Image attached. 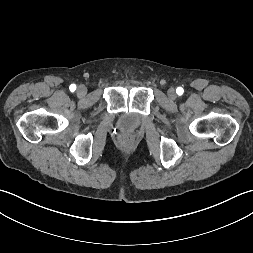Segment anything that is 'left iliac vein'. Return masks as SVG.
Wrapping results in <instances>:
<instances>
[{
    "mask_svg": "<svg viewBox=\"0 0 253 253\" xmlns=\"http://www.w3.org/2000/svg\"><path fill=\"white\" fill-rule=\"evenodd\" d=\"M167 94L169 96V98L171 99H175L176 98V91L174 88H170L168 91H167Z\"/></svg>",
    "mask_w": 253,
    "mask_h": 253,
    "instance_id": "left-iliac-vein-1",
    "label": "left iliac vein"
}]
</instances>
